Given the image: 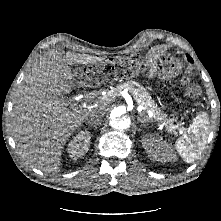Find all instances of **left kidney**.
<instances>
[{"label":"left kidney","mask_w":221,"mask_h":221,"mask_svg":"<svg viewBox=\"0 0 221 221\" xmlns=\"http://www.w3.org/2000/svg\"><path fill=\"white\" fill-rule=\"evenodd\" d=\"M142 145L147 154L157 161H170L174 158L169 144L160 137L148 135L142 138Z\"/></svg>","instance_id":"left-kidney-1"}]
</instances>
